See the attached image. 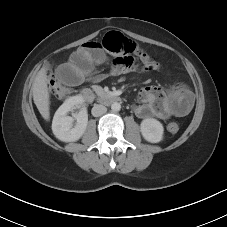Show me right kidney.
<instances>
[{
  "label": "right kidney",
  "mask_w": 227,
  "mask_h": 227,
  "mask_svg": "<svg viewBox=\"0 0 227 227\" xmlns=\"http://www.w3.org/2000/svg\"><path fill=\"white\" fill-rule=\"evenodd\" d=\"M84 99L81 95L68 98L56 111L52 121V131L55 137L63 142L78 141L84 134L88 124V114L85 107L82 106L79 113L76 114V125L73 127L74 118L67 116L75 106L83 105Z\"/></svg>",
  "instance_id": "obj_1"
}]
</instances>
